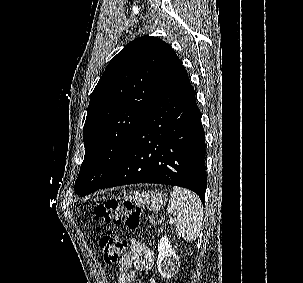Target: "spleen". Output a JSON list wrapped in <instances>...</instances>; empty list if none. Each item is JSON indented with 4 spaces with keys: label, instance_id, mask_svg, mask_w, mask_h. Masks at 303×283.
Here are the masks:
<instances>
[{
    "label": "spleen",
    "instance_id": "obj_1",
    "mask_svg": "<svg viewBox=\"0 0 303 283\" xmlns=\"http://www.w3.org/2000/svg\"><path fill=\"white\" fill-rule=\"evenodd\" d=\"M167 211L175 217L178 235L187 241L196 240L203 220L199 197L189 190L174 186Z\"/></svg>",
    "mask_w": 303,
    "mask_h": 283
}]
</instances>
